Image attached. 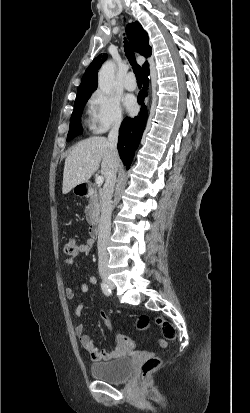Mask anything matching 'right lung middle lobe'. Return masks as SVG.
I'll list each match as a JSON object with an SVG mask.
<instances>
[{"label": "right lung middle lobe", "instance_id": "dd1d6c3e", "mask_svg": "<svg viewBox=\"0 0 250 413\" xmlns=\"http://www.w3.org/2000/svg\"><path fill=\"white\" fill-rule=\"evenodd\" d=\"M91 93L77 96L74 104V110L71 116L69 132L67 135V141H70L77 135L82 134L83 129L81 126V115L84 105L89 99Z\"/></svg>", "mask_w": 250, "mask_h": 413}]
</instances>
